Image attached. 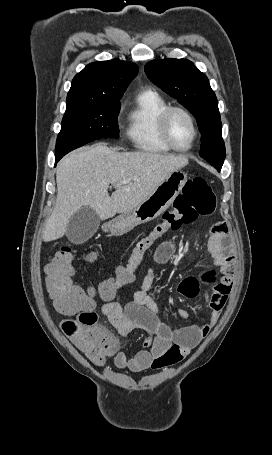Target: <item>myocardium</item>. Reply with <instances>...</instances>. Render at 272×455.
Masks as SVG:
<instances>
[{"label":"myocardium","instance_id":"obj_1","mask_svg":"<svg viewBox=\"0 0 272 455\" xmlns=\"http://www.w3.org/2000/svg\"><path fill=\"white\" fill-rule=\"evenodd\" d=\"M174 112H180L187 117L189 120L192 130H193V137L190 144L187 147H179L177 146L171 139L169 133V120L171 115ZM158 126H159V133L163 140V142L171 149L177 152H187L191 150L196 143L199 135V130L195 118L193 115L185 108L181 106H167L160 114L158 119Z\"/></svg>","mask_w":272,"mask_h":455}]
</instances>
